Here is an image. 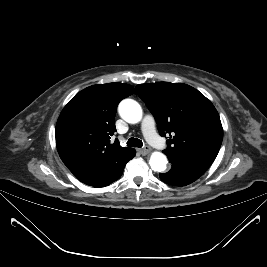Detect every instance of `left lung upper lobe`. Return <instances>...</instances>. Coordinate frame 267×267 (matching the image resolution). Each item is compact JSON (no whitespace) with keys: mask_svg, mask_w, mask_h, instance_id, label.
Returning a JSON list of instances; mask_svg holds the SVG:
<instances>
[{"mask_svg":"<svg viewBox=\"0 0 267 267\" xmlns=\"http://www.w3.org/2000/svg\"><path fill=\"white\" fill-rule=\"evenodd\" d=\"M136 90L153 114L160 135H169L168 148L163 152L209 167L223 139L221 121L213 104L183 83L140 84Z\"/></svg>","mask_w":267,"mask_h":267,"instance_id":"left-lung-upper-lobe-1","label":"left lung upper lobe"}]
</instances>
